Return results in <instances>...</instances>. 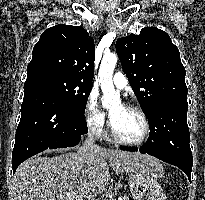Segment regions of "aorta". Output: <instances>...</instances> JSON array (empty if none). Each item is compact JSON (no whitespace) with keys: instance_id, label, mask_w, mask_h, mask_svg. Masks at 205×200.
<instances>
[{"instance_id":"obj_1","label":"aorta","mask_w":205,"mask_h":200,"mask_svg":"<svg viewBox=\"0 0 205 200\" xmlns=\"http://www.w3.org/2000/svg\"><path fill=\"white\" fill-rule=\"evenodd\" d=\"M116 63L117 55L115 53L105 54L99 69L100 85L103 92L102 105L105 108L120 104V95L115 91L112 80Z\"/></svg>"}]
</instances>
